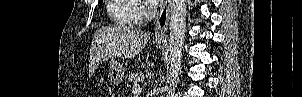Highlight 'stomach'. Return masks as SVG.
Listing matches in <instances>:
<instances>
[{
  "label": "stomach",
  "instance_id": "obj_1",
  "mask_svg": "<svg viewBox=\"0 0 302 97\" xmlns=\"http://www.w3.org/2000/svg\"><path fill=\"white\" fill-rule=\"evenodd\" d=\"M157 48H162V43H155ZM108 78L110 81L116 85L122 83L124 79L125 69L124 67L114 59L109 60L108 62Z\"/></svg>",
  "mask_w": 302,
  "mask_h": 97
}]
</instances>
